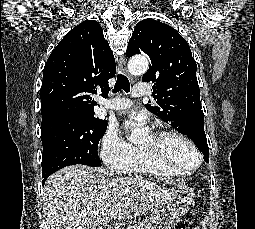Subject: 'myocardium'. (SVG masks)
I'll list each match as a JSON object with an SVG mask.
<instances>
[{"label": "myocardium", "instance_id": "f54148a6", "mask_svg": "<svg viewBox=\"0 0 255 229\" xmlns=\"http://www.w3.org/2000/svg\"><path fill=\"white\" fill-rule=\"evenodd\" d=\"M155 137L157 138H163V137H167V136H174V137H178L180 139H182L183 141H185L188 145H190L192 147V149L195 151L198 161L194 166L191 167H187V168H183V169H176L173 168L170 165H167L166 163H164L156 154H154L153 152L141 148L140 149L146 154V156L153 161L157 166H159L160 168L166 170L168 173L174 175V176H183L186 174H189L191 172H194L195 170H197L203 162V155L200 151V149L198 148V146L195 144V142L188 137L186 134L177 131V130H164V131H159L153 134Z\"/></svg>", "mask_w": 255, "mask_h": 229}]
</instances>
